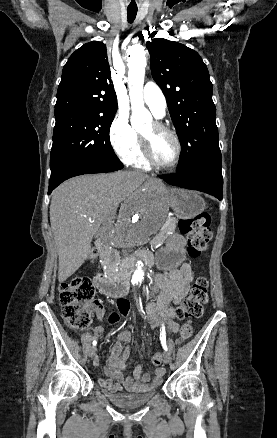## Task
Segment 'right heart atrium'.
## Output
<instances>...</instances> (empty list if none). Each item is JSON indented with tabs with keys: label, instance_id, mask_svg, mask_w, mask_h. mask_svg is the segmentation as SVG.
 I'll return each mask as SVG.
<instances>
[{
	"label": "right heart atrium",
	"instance_id": "1",
	"mask_svg": "<svg viewBox=\"0 0 277 438\" xmlns=\"http://www.w3.org/2000/svg\"><path fill=\"white\" fill-rule=\"evenodd\" d=\"M110 140L119 156L129 160L139 145L137 134L128 121L126 113L119 111L110 127Z\"/></svg>",
	"mask_w": 277,
	"mask_h": 438
}]
</instances>
